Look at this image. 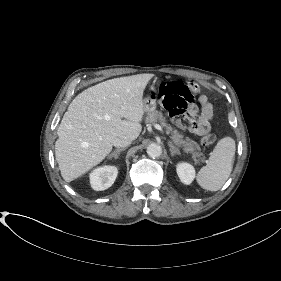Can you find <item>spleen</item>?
Masks as SVG:
<instances>
[{
    "instance_id": "spleen-1",
    "label": "spleen",
    "mask_w": 281,
    "mask_h": 281,
    "mask_svg": "<svg viewBox=\"0 0 281 281\" xmlns=\"http://www.w3.org/2000/svg\"><path fill=\"white\" fill-rule=\"evenodd\" d=\"M235 150L233 138L224 137L218 141L206 166L197 174V182L203 189L208 191L221 189L231 174Z\"/></svg>"
}]
</instances>
